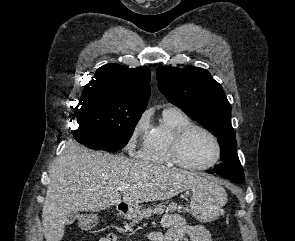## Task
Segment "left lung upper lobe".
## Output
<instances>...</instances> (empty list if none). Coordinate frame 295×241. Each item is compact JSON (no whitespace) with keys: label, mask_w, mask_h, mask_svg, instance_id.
<instances>
[{"label":"left lung upper lobe","mask_w":295,"mask_h":241,"mask_svg":"<svg viewBox=\"0 0 295 241\" xmlns=\"http://www.w3.org/2000/svg\"><path fill=\"white\" fill-rule=\"evenodd\" d=\"M156 75L158 87L165 97L218 138L223 163L211 171L234 182H242L244 171L236 152L231 106L222 86L207 70L195 66H163L157 68Z\"/></svg>","instance_id":"obj_1"}]
</instances>
